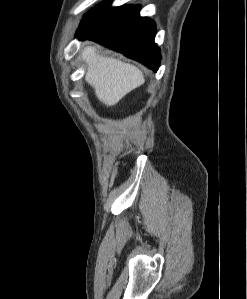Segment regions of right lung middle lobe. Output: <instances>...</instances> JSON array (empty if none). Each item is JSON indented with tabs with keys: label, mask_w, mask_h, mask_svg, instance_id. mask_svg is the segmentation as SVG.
Wrapping results in <instances>:
<instances>
[{
	"label": "right lung middle lobe",
	"mask_w": 247,
	"mask_h": 299,
	"mask_svg": "<svg viewBox=\"0 0 247 299\" xmlns=\"http://www.w3.org/2000/svg\"><path fill=\"white\" fill-rule=\"evenodd\" d=\"M133 6L110 7V2H104L89 11L82 20L77 36L92 35L113 23L121 20Z\"/></svg>",
	"instance_id": "right-lung-middle-lobe-1"
}]
</instances>
